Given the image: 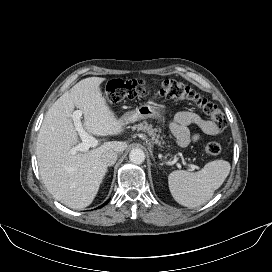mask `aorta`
Listing matches in <instances>:
<instances>
[{"instance_id":"obj_1","label":"aorta","mask_w":272,"mask_h":272,"mask_svg":"<svg viewBox=\"0 0 272 272\" xmlns=\"http://www.w3.org/2000/svg\"><path fill=\"white\" fill-rule=\"evenodd\" d=\"M129 159L134 164H141L145 160V153L139 148L132 149L129 153Z\"/></svg>"}]
</instances>
